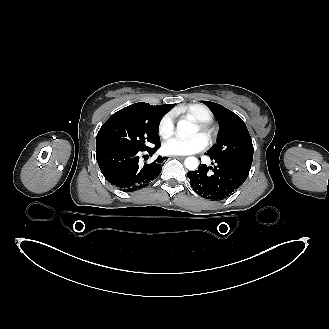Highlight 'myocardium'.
Listing matches in <instances>:
<instances>
[{
	"instance_id": "1",
	"label": "myocardium",
	"mask_w": 329,
	"mask_h": 329,
	"mask_svg": "<svg viewBox=\"0 0 329 329\" xmlns=\"http://www.w3.org/2000/svg\"><path fill=\"white\" fill-rule=\"evenodd\" d=\"M196 125L200 134L207 140V142L212 143L216 137L215 128L208 122H197Z\"/></svg>"
}]
</instances>
